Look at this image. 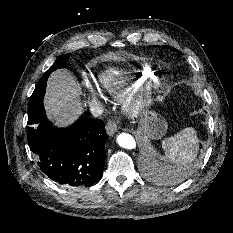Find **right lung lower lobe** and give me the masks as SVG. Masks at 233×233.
<instances>
[{
  "mask_svg": "<svg viewBox=\"0 0 233 233\" xmlns=\"http://www.w3.org/2000/svg\"><path fill=\"white\" fill-rule=\"evenodd\" d=\"M40 80L34 93L45 91ZM107 134L104 122L80 119L68 128L53 127L46 118L29 136V146L38 157L40 169L53 181L68 186H91L102 175Z\"/></svg>",
  "mask_w": 233,
  "mask_h": 233,
  "instance_id": "right-lung-lower-lobe-1",
  "label": "right lung lower lobe"
}]
</instances>
